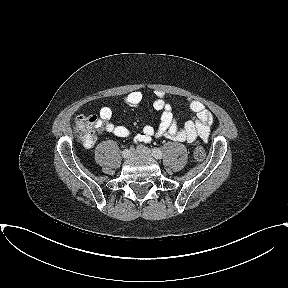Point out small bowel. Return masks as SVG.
Returning a JSON list of instances; mask_svg holds the SVG:
<instances>
[{"mask_svg": "<svg viewBox=\"0 0 288 288\" xmlns=\"http://www.w3.org/2000/svg\"><path fill=\"white\" fill-rule=\"evenodd\" d=\"M124 102L128 106L139 107L143 102V94L141 91L130 92L125 95ZM152 105L155 110L161 111L160 122L156 128L145 126L136 135V142H149L152 138L165 137L192 145L197 138L208 140L213 116L203 103L193 99L188 100V108L195 114V117L188 120L182 129L177 125L172 104L166 101L161 93L155 94ZM112 114L110 107L105 106L100 109L99 119L96 122L97 131L107 132L120 138L128 137L130 130L125 126L112 123Z\"/></svg>", "mask_w": 288, "mask_h": 288, "instance_id": "c3829d8e", "label": "small bowel"}]
</instances>
